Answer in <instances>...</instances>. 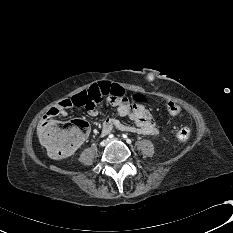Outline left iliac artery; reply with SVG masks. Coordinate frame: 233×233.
I'll use <instances>...</instances> for the list:
<instances>
[{"instance_id": "44dca946", "label": "left iliac artery", "mask_w": 233, "mask_h": 233, "mask_svg": "<svg viewBox=\"0 0 233 233\" xmlns=\"http://www.w3.org/2000/svg\"><path fill=\"white\" fill-rule=\"evenodd\" d=\"M122 137L126 138L127 143H131V139L127 138V135L123 134Z\"/></svg>"}]
</instances>
